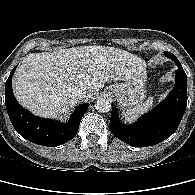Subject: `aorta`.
Wrapping results in <instances>:
<instances>
[{
    "label": "aorta",
    "instance_id": "762f6f07",
    "mask_svg": "<svg viewBox=\"0 0 195 195\" xmlns=\"http://www.w3.org/2000/svg\"><path fill=\"white\" fill-rule=\"evenodd\" d=\"M111 101L108 99L100 98L95 102V109L100 113H107L111 110Z\"/></svg>",
    "mask_w": 195,
    "mask_h": 195
}]
</instances>
